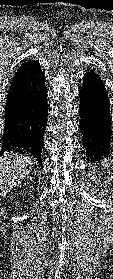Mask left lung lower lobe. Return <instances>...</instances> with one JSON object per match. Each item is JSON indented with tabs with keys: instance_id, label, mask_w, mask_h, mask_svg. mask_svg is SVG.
<instances>
[{
	"instance_id": "0a47b994",
	"label": "left lung lower lobe",
	"mask_w": 113,
	"mask_h": 279,
	"mask_svg": "<svg viewBox=\"0 0 113 279\" xmlns=\"http://www.w3.org/2000/svg\"><path fill=\"white\" fill-rule=\"evenodd\" d=\"M79 114L83 146L88 159H100L110 153L112 135L108 94L100 76L88 71L79 91Z\"/></svg>"
}]
</instances>
